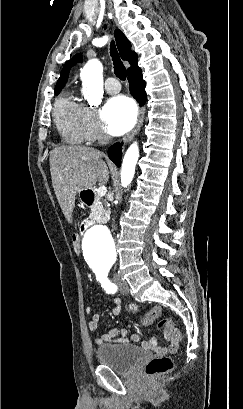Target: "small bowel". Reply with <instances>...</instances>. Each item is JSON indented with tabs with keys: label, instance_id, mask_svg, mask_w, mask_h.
Masks as SVG:
<instances>
[{
	"label": "small bowel",
	"instance_id": "obj_1",
	"mask_svg": "<svg viewBox=\"0 0 243 409\" xmlns=\"http://www.w3.org/2000/svg\"><path fill=\"white\" fill-rule=\"evenodd\" d=\"M85 312L87 314L92 313V308L87 306L85 308ZM112 313L119 317L120 315V301L119 299H114V306L112 308ZM101 315L100 313H95L92 315V318L89 322V329L91 331H96L100 325ZM169 340V344L167 346H161L157 343L155 338L150 339L149 341L142 342V345L158 354H166V353H175L179 348L180 338L177 335L176 330H172L170 335L166 336ZM129 340L133 342H140V337L137 334L131 335L128 337L127 330L125 328L117 329L113 327L111 324H107L104 328V331L101 335L95 338L94 342L97 345H102L104 343H113V344H121V343H128Z\"/></svg>",
	"mask_w": 243,
	"mask_h": 409
}]
</instances>
